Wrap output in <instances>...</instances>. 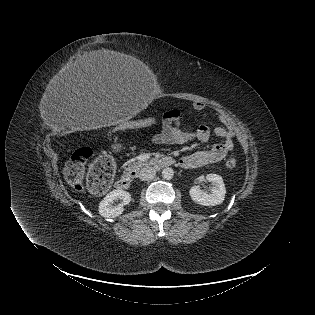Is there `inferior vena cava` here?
<instances>
[{
	"mask_svg": "<svg viewBox=\"0 0 315 315\" xmlns=\"http://www.w3.org/2000/svg\"><path fill=\"white\" fill-rule=\"evenodd\" d=\"M155 174H156L155 168L147 165L140 170L139 178L142 181H147L154 178Z\"/></svg>",
	"mask_w": 315,
	"mask_h": 315,
	"instance_id": "obj_1",
	"label": "inferior vena cava"
}]
</instances>
